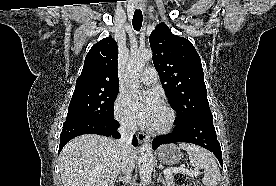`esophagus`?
Listing matches in <instances>:
<instances>
[{"label": "esophagus", "mask_w": 276, "mask_h": 186, "mask_svg": "<svg viewBox=\"0 0 276 186\" xmlns=\"http://www.w3.org/2000/svg\"><path fill=\"white\" fill-rule=\"evenodd\" d=\"M135 6H136V8L141 9V10L145 9V5L143 2H136ZM137 139L140 143H147L150 141V137L141 132L137 133Z\"/></svg>", "instance_id": "obj_1"}]
</instances>
